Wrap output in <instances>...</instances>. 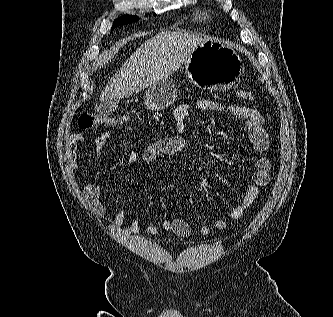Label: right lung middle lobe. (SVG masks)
<instances>
[{
  "mask_svg": "<svg viewBox=\"0 0 333 317\" xmlns=\"http://www.w3.org/2000/svg\"><path fill=\"white\" fill-rule=\"evenodd\" d=\"M137 19H138L137 16H122L120 18H117L114 21L112 28H114L116 26H119V25H122V24L132 22V21L137 20Z\"/></svg>",
  "mask_w": 333,
  "mask_h": 317,
  "instance_id": "dd1d6c3e",
  "label": "right lung middle lobe"
}]
</instances>
